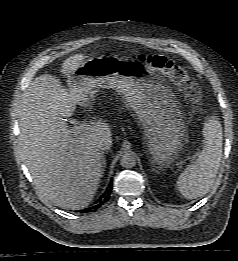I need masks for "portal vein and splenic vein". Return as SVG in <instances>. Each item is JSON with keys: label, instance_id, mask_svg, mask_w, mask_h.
I'll list each match as a JSON object with an SVG mask.
<instances>
[{"label": "portal vein and splenic vein", "instance_id": "obj_1", "mask_svg": "<svg viewBox=\"0 0 238 261\" xmlns=\"http://www.w3.org/2000/svg\"><path fill=\"white\" fill-rule=\"evenodd\" d=\"M90 129V125L86 123H77L71 130L75 135H79L83 132H87Z\"/></svg>", "mask_w": 238, "mask_h": 261}]
</instances>
